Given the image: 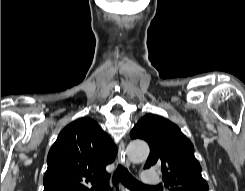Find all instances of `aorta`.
<instances>
[{
	"label": "aorta",
	"instance_id": "762f6f07",
	"mask_svg": "<svg viewBox=\"0 0 245 191\" xmlns=\"http://www.w3.org/2000/svg\"><path fill=\"white\" fill-rule=\"evenodd\" d=\"M126 154L129 160L134 163L143 162L149 155V146L144 141H131L126 148Z\"/></svg>",
	"mask_w": 245,
	"mask_h": 191
}]
</instances>
